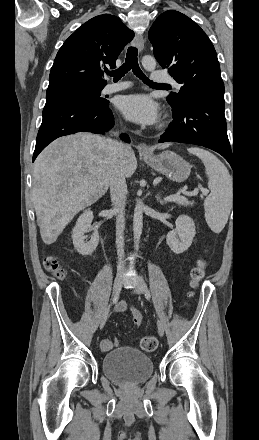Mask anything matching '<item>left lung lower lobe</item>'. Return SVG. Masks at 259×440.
Segmentation results:
<instances>
[{"instance_id":"0a47b994","label":"left lung lower lobe","mask_w":259,"mask_h":440,"mask_svg":"<svg viewBox=\"0 0 259 440\" xmlns=\"http://www.w3.org/2000/svg\"><path fill=\"white\" fill-rule=\"evenodd\" d=\"M224 109L222 94L200 91L190 95L183 108L173 110V121L159 142L204 146L221 154L233 166Z\"/></svg>"}]
</instances>
